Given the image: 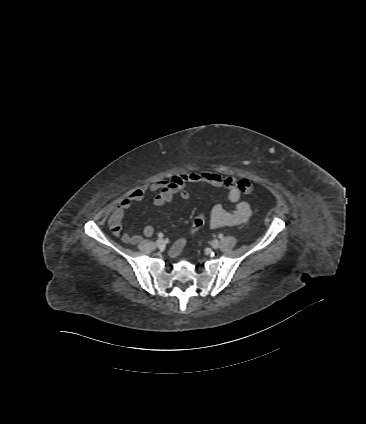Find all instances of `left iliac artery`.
Listing matches in <instances>:
<instances>
[{
  "mask_svg": "<svg viewBox=\"0 0 366 424\" xmlns=\"http://www.w3.org/2000/svg\"><path fill=\"white\" fill-rule=\"evenodd\" d=\"M219 238L222 239L223 238V234H219Z\"/></svg>",
  "mask_w": 366,
  "mask_h": 424,
  "instance_id": "44dca946",
  "label": "left iliac artery"
}]
</instances>
